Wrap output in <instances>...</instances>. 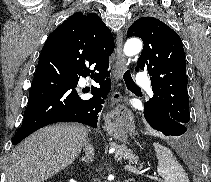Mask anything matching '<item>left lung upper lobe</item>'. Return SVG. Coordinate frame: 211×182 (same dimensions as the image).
<instances>
[{
    "instance_id": "obj_1",
    "label": "left lung upper lobe",
    "mask_w": 211,
    "mask_h": 182,
    "mask_svg": "<svg viewBox=\"0 0 211 182\" xmlns=\"http://www.w3.org/2000/svg\"><path fill=\"white\" fill-rule=\"evenodd\" d=\"M127 36L140 37L144 43L135 70H145L151 76L154 95L144 104L145 119L151 124L154 117L167 114L187 126L190 120L189 98L180 37L153 17L136 20L128 29Z\"/></svg>"
}]
</instances>
